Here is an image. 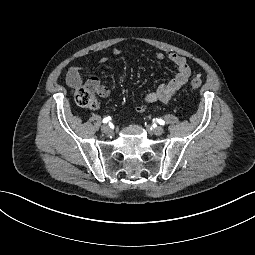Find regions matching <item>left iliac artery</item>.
Masks as SVG:
<instances>
[{"instance_id":"44dca946","label":"left iliac artery","mask_w":255,"mask_h":255,"mask_svg":"<svg viewBox=\"0 0 255 255\" xmlns=\"http://www.w3.org/2000/svg\"><path fill=\"white\" fill-rule=\"evenodd\" d=\"M157 122L160 124V125H164L165 122L162 120V119H158Z\"/></svg>"}]
</instances>
